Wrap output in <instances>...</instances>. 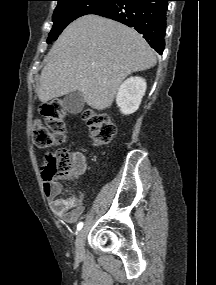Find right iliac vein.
<instances>
[{
	"instance_id": "63e3f726",
	"label": "right iliac vein",
	"mask_w": 216,
	"mask_h": 285,
	"mask_svg": "<svg viewBox=\"0 0 216 285\" xmlns=\"http://www.w3.org/2000/svg\"><path fill=\"white\" fill-rule=\"evenodd\" d=\"M85 244V231L82 229L78 232L75 241V250L77 256H83Z\"/></svg>"
}]
</instances>
